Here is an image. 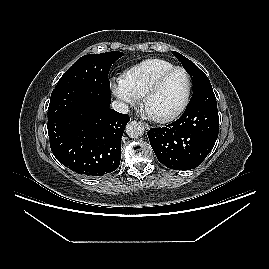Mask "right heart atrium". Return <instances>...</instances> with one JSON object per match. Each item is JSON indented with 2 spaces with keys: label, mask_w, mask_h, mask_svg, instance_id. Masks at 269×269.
Wrapping results in <instances>:
<instances>
[{
  "label": "right heart atrium",
  "mask_w": 269,
  "mask_h": 269,
  "mask_svg": "<svg viewBox=\"0 0 269 269\" xmlns=\"http://www.w3.org/2000/svg\"><path fill=\"white\" fill-rule=\"evenodd\" d=\"M111 90L124 106L135 105L139 100V96L128 88L123 78L113 79Z\"/></svg>",
  "instance_id": "d8ad5b80"
}]
</instances>
